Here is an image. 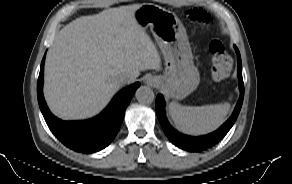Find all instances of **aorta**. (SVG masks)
<instances>
[{"instance_id":"obj_1","label":"aorta","mask_w":292,"mask_h":184,"mask_svg":"<svg viewBox=\"0 0 292 184\" xmlns=\"http://www.w3.org/2000/svg\"><path fill=\"white\" fill-rule=\"evenodd\" d=\"M136 99L141 103H150L154 99V93L147 86H140L135 92Z\"/></svg>"}]
</instances>
